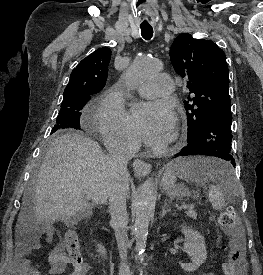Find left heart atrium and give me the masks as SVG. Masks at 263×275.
<instances>
[{"instance_id":"1","label":"left heart atrium","mask_w":263,"mask_h":275,"mask_svg":"<svg viewBox=\"0 0 263 275\" xmlns=\"http://www.w3.org/2000/svg\"><path fill=\"white\" fill-rule=\"evenodd\" d=\"M131 121L137 136L150 146H160L167 142L175 126L172 108L164 101L135 105Z\"/></svg>"}]
</instances>
